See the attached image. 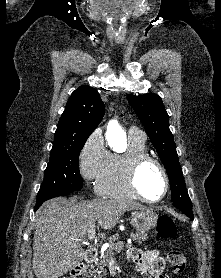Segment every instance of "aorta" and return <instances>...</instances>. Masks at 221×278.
Masks as SVG:
<instances>
[{
	"mask_svg": "<svg viewBox=\"0 0 221 278\" xmlns=\"http://www.w3.org/2000/svg\"><path fill=\"white\" fill-rule=\"evenodd\" d=\"M106 139L110 147H115L118 143L126 142V134L117 121L112 120L108 123Z\"/></svg>",
	"mask_w": 221,
	"mask_h": 278,
	"instance_id": "aorta-1",
	"label": "aorta"
}]
</instances>
